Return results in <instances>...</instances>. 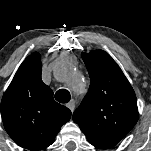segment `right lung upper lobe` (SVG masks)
<instances>
[{"label":"right lung upper lobe","mask_w":151,"mask_h":151,"mask_svg":"<svg viewBox=\"0 0 151 151\" xmlns=\"http://www.w3.org/2000/svg\"><path fill=\"white\" fill-rule=\"evenodd\" d=\"M6 131L21 147L38 151L50 146L71 111L53 99L41 79V57L29 55L20 65L1 101Z\"/></svg>","instance_id":"cb5924a9"}]
</instances>
